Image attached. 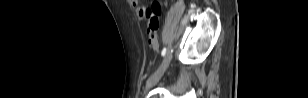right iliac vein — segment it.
<instances>
[{
    "mask_svg": "<svg viewBox=\"0 0 308 98\" xmlns=\"http://www.w3.org/2000/svg\"><path fill=\"white\" fill-rule=\"evenodd\" d=\"M170 59H171V54H167L166 57H165V62H166V67L159 73L157 74L154 78H152L151 80H149L147 82V85H146V89L148 90L149 88H151L153 85L157 84V82L161 79V77L163 76L169 62H170Z\"/></svg>",
    "mask_w": 308,
    "mask_h": 98,
    "instance_id": "63e3f726",
    "label": "right iliac vein"
}]
</instances>
